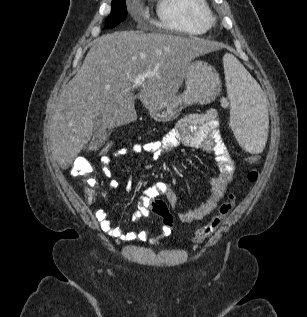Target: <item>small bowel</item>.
I'll return each mask as SVG.
<instances>
[{
    "mask_svg": "<svg viewBox=\"0 0 307 317\" xmlns=\"http://www.w3.org/2000/svg\"><path fill=\"white\" fill-rule=\"evenodd\" d=\"M219 121L215 109H209L202 113H192L182 117L176 126L161 140L146 143H134L122 147L112 155L100 157L101 170L104 176L111 178L108 190L102 191V197L106 202L110 201L111 192L120 186L118 180L113 179L110 165L115 158L130 154L146 153L151 155L153 161H158L169 155L175 148L184 145L194 148H202L207 153L214 155L218 166V174L210 179V191L205 201L195 209L180 212L178 217L182 223H191L201 220L209 215L222 199L226 187L231 183L235 172V164L222 139L219 130ZM131 183L126 184V191H131ZM164 195L172 207L178 206V199L170 186L165 182H157L143 191L138 209L132 214L133 219H140L149 215L152 199ZM95 219L101 229L108 235L123 241H149L157 243L161 238L168 236L171 229L161 227L156 237H151L148 231L124 232L120 227L112 225L107 212L97 208L94 213Z\"/></svg>",
    "mask_w": 307,
    "mask_h": 317,
    "instance_id": "c3829d8e",
    "label": "small bowel"
}]
</instances>
